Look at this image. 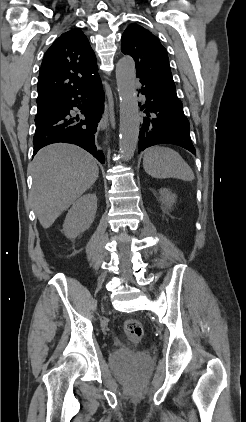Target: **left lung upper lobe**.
I'll return each mask as SVG.
<instances>
[{
    "instance_id": "left-lung-upper-lobe-1",
    "label": "left lung upper lobe",
    "mask_w": 246,
    "mask_h": 422,
    "mask_svg": "<svg viewBox=\"0 0 246 422\" xmlns=\"http://www.w3.org/2000/svg\"><path fill=\"white\" fill-rule=\"evenodd\" d=\"M121 51L133 57L138 78L178 99L167 52L156 36L140 25L131 24L122 35Z\"/></svg>"
}]
</instances>
